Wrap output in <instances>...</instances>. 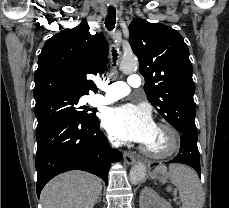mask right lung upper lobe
<instances>
[{
	"instance_id": "cb5924a9",
	"label": "right lung upper lobe",
	"mask_w": 229,
	"mask_h": 208,
	"mask_svg": "<svg viewBox=\"0 0 229 208\" xmlns=\"http://www.w3.org/2000/svg\"><path fill=\"white\" fill-rule=\"evenodd\" d=\"M108 42L101 33L91 35L86 20L48 39L35 73L36 101L53 95L84 96L97 92L88 74H102L108 63Z\"/></svg>"
}]
</instances>
